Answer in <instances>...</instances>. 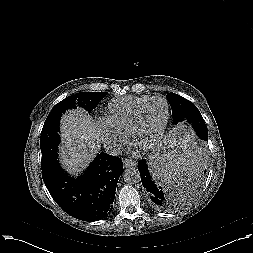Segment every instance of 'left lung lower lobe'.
I'll return each instance as SVG.
<instances>
[{
	"label": "left lung lower lobe",
	"instance_id": "left-lung-lower-lobe-1",
	"mask_svg": "<svg viewBox=\"0 0 253 253\" xmlns=\"http://www.w3.org/2000/svg\"><path fill=\"white\" fill-rule=\"evenodd\" d=\"M189 150L191 151L192 159L199 160L201 166L199 170L195 171V173L189 177L188 185L183 190L174 193L169 192L164 184L152 178L149 171V166L151 167L150 163H147L145 159L139 161L138 170L141 176V182L147 191L148 199L152 207L162 211L172 210L182 205L183 201H185V195L195 191L202 178L205 156L202 144L200 143H192Z\"/></svg>",
	"mask_w": 253,
	"mask_h": 253
}]
</instances>
